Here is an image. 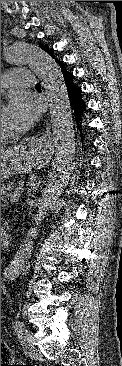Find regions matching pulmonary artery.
<instances>
[{
	"mask_svg": "<svg viewBox=\"0 0 122 366\" xmlns=\"http://www.w3.org/2000/svg\"><path fill=\"white\" fill-rule=\"evenodd\" d=\"M36 74L30 70L10 69L1 75V90L10 86L34 87Z\"/></svg>",
	"mask_w": 122,
	"mask_h": 366,
	"instance_id": "e3ab8cb5",
	"label": "pulmonary artery"
}]
</instances>
